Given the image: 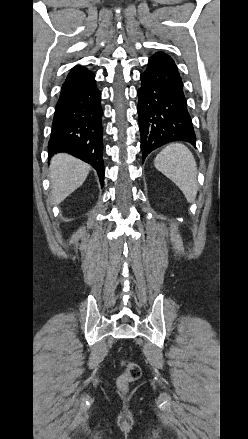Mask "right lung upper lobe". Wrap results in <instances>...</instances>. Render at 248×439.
Instances as JSON below:
<instances>
[{
  "label": "right lung upper lobe",
  "mask_w": 248,
  "mask_h": 439,
  "mask_svg": "<svg viewBox=\"0 0 248 439\" xmlns=\"http://www.w3.org/2000/svg\"><path fill=\"white\" fill-rule=\"evenodd\" d=\"M81 66H75L72 70H75V69H78V68H80ZM71 70V71H72Z\"/></svg>",
  "instance_id": "1"
}]
</instances>
